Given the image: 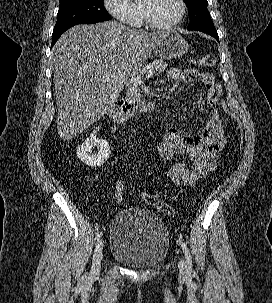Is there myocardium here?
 <instances>
[{
	"label": "myocardium",
	"mask_w": 272,
	"mask_h": 303,
	"mask_svg": "<svg viewBox=\"0 0 272 303\" xmlns=\"http://www.w3.org/2000/svg\"><path fill=\"white\" fill-rule=\"evenodd\" d=\"M150 2L151 0H140L142 19L148 27L154 30H161V31L170 30L177 27L183 21L186 14V3L184 0H178V3L180 5V14L178 18L172 23L167 25H162L154 21L150 12Z\"/></svg>",
	"instance_id": "1"
}]
</instances>
